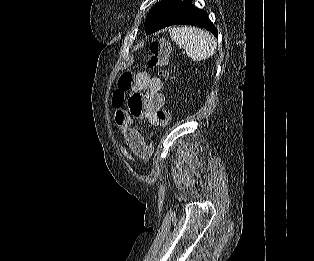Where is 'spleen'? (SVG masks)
<instances>
[{
    "mask_svg": "<svg viewBox=\"0 0 314 261\" xmlns=\"http://www.w3.org/2000/svg\"><path fill=\"white\" fill-rule=\"evenodd\" d=\"M171 39L183 47L188 57L194 61L210 58L216 50L214 37L195 27H174L169 30Z\"/></svg>",
    "mask_w": 314,
    "mask_h": 261,
    "instance_id": "1",
    "label": "spleen"
}]
</instances>
